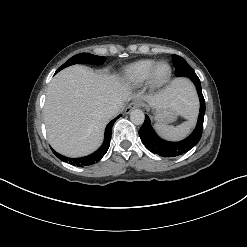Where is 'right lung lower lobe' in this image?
Returning <instances> with one entry per match:
<instances>
[{"instance_id":"98d812e1","label":"right lung lower lobe","mask_w":247,"mask_h":247,"mask_svg":"<svg viewBox=\"0 0 247 247\" xmlns=\"http://www.w3.org/2000/svg\"><path fill=\"white\" fill-rule=\"evenodd\" d=\"M119 117H120V115L118 117H116L115 119H113L111 122H109V124L106 126L105 137H104V142H103L102 146L96 152L92 153L91 155L86 156V157L72 159V158H67V157L57 153L56 151L52 150L53 153L60 160H62L64 162H69L72 165H77L80 167L89 166V165H92V164L98 162L99 160H101V158L106 154V152L109 149L111 134H112V126H113L114 122Z\"/></svg>"}]
</instances>
